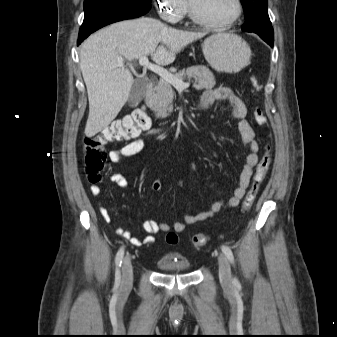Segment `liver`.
<instances>
[{"mask_svg":"<svg viewBox=\"0 0 337 337\" xmlns=\"http://www.w3.org/2000/svg\"><path fill=\"white\" fill-rule=\"evenodd\" d=\"M203 36L148 17L114 23L89 36L80 50L89 100L85 135L92 137L106 128L130 96L134 79L128 69L117 66L119 59L151 55L156 64L169 65L185 46Z\"/></svg>","mask_w":337,"mask_h":337,"instance_id":"liver-1","label":"liver"}]
</instances>
